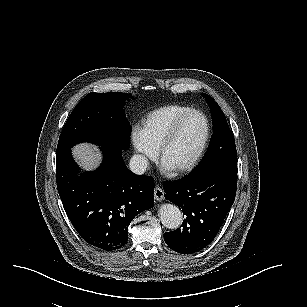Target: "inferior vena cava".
I'll list each match as a JSON object with an SVG mask.
<instances>
[{"mask_svg": "<svg viewBox=\"0 0 307 307\" xmlns=\"http://www.w3.org/2000/svg\"><path fill=\"white\" fill-rule=\"evenodd\" d=\"M129 169L136 175H143L147 170L148 159L142 154H134L129 159Z\"/></svg>", "mask_w": 307, "mask_h": 307, "instance_id": "602c4592", "label": "inferior vena cava"}]
</instances>
